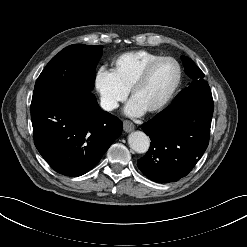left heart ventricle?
<instances>
[{
	"instance_id": "obj_1",
	"label": "left heart ventricle",
	"mask_w": 247,
	"mask_h": 247,
	"mask_svg": "<svg viewBox=\"0 0 247 247\" xmlns=\"http://www.w3.org/2000/svg\"><path fill=\"white\" fill-rule=\"evenodd\" d=\"M177 77V69L173 62H159L151 71L145 84L137 90L133 99L148 110L159 103L170 91Z\"/></svg>"
}]
</instances>
